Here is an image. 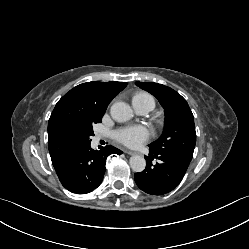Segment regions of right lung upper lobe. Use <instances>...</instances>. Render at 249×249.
I'll use <instances>...</instances> for the list:
<instances>
[{"label":"right lung upper lobe","mask_w":249,"mask_h":249,"mask_svg":"<svg viewBox=\"0 0 249 249\" xmlns=\"http://www.w3.org/2000/svg\"><path fill=\"white\" fill-rule=\"evenodd\" d=\"M126 82H88L66 93L56 104L48 123V148L54 167L79 148L81 131L101 119L111 100Z\"/></svg>","instance_id":"cb5924a9"}]
</instances>
